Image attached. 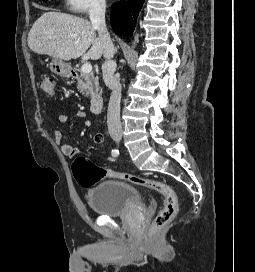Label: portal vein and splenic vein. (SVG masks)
Returning <instances> with one entry per match:
<instances>
[{"instance_id":"18ae733b","label":"portal vein and splenic vein","mask_w":255,"mask_h":272,"mask_svg":"<svg viewBox=\"0 0 255 272\" xmlns=\"http://www.w3.org/2000/svg\"><path fill=\"white\" fill-rule=\"evenodd\" d=\"M81 71L87 74L92 72V65L89 63H84L81 67Z\"/></svg>"}]
</instances>
